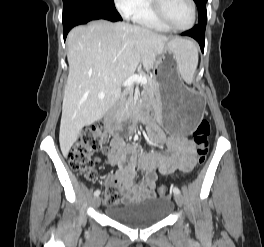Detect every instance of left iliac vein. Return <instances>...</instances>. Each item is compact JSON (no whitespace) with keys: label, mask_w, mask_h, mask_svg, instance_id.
Masks as SVG:
<instances>
[{"label":"left iliac vein","mask_w":264,"mask_h":247,"mask_svg":"<svg viewBox=\"0 0 264 247\" xmlns=\"http://www.w3.org/2000/svg\"><path fill=\"white\" fill-rule=\"evenodd\" d=\"M174 199L179 206H182L184 204V198L181 194H175Z\"/></svg>","instance_id":"left-iliac-vein-1"}]
</instances>
